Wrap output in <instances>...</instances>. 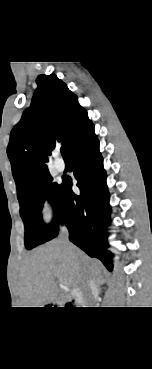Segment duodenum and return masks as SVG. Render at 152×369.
<instances>
[{
  "mask_svg": "<svg viewBox=\"0 0 152 369\" xmlns=\"http://www.w3.org/2000/svg\"><path fill=\"white\" fill-rule=\"evenodd\" d=\"M70 298L72 300L76 301V302L81 303V302H83L84 296H83V294L80 291H78V290H72L70 292Z\"/></svg>",
  "mask_w": 152,
  "mask_h": 369,
  "instance_id": "410a0bca",
  "label": "duodenum"
}]
</instances>
